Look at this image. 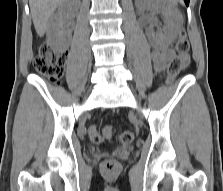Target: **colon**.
<instances>
[{
    "label": "colon",
    "instance_id": "1",
    "mask_svg": "<svg viewBox=\"0 0 223 191\" xmlns=\"http://www.w3.org/2000/svg\"><path fill=\"white\" fill-rule=\"evenodd\" d=\"M175 49L176 55L170 59L167 66L168 84H172L174 78L180 72L182 68L181 58L190 50V42L185 32L182 31L179 34ZM66 60V53L56 52L45 45L35 57L33 65L38 73L46 76L52 83L58 84L63 75ZM112 134L113 128L111 126H105L100 130L92 128L90 137L94 143L100 144L105 139L111 138ZM119 140L124 145L131 144L133 141V133L125 130L121 132ZM102 169L107 174H116L120 171V164L115 160H108L103 164Z\"/></svg>",
    "mask_w": 223,
    "mask_h": 191
}]
</instances>
